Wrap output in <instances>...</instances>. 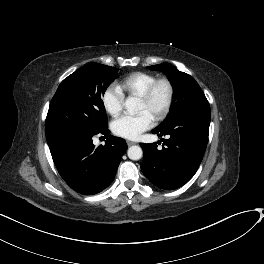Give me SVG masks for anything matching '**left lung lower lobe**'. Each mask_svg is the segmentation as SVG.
I'll list each match as a JSON object with an SVG mask.
<instances>
[{"mask_svg": "<svg viewBox=\"0 0 264 264\" xmlns=\"http://www.w3.org/2000/svg\"><path fill=\"white\" fill-rule=\"evenodd\" d=\"M210 111L190 113L162 129L152 132L169 135L162 149L157 143L143 144L140 164L145 177L159 188L172 190L187 183L196 173L206 150Z\"/></svg>", "mask_w": 264, "mask_h": 264, "instance_id": "obj_1", "label": "left lung lower lobe"}]
</instances>
